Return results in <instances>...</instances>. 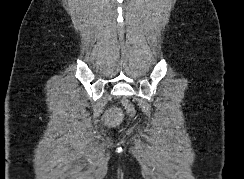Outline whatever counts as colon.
<instances>
[{
  "label": "colon",
  "instance_id": "5ec220e1",
  "mask_svg": "<svg viewBox=\"0 0 244 179\" xmlns=\"http://www.w3.org/2000/svg\"><path fill=\"white\" fill-rule=\"evenodd\" d=\"M124 103L126 104L127 111L129 112V115H138V108L137 107H131V103L129 102L128 99L124 100ZM130 133H136L137 129L135 125H132L131 128L129 129Z\"/></svg>",
  "mask_w": 244,
  "mask_h": 179
}]
</instances>
